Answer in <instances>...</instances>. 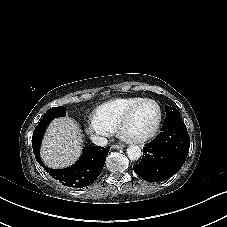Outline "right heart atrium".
I'll return each mask as SVG.
<instances>
[{
	"mask_svg": "<svg viewBox=\"0 0 227 227\" xmlns=\"http://www.w3.org/2000/svg\"><path fill=\"white\" fill-rule=\"evenodd\" d=\"M111 132L112 130L105 127L97 126L93 123L89 125L86 129V133L92 141L102 140L110 136Z\"/></svg>",
	"mask_w": 227,
	"mask_h": 227,
	"instance_id": "d8ad5b80",
	"label": "right heart atrium"
}]
</instances>
